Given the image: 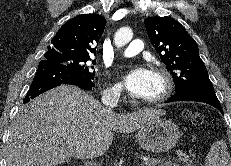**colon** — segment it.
<instances>
[{
	"mask_svg": "<svg viewBox=\"0 0 231 166\" xmlns=\"http://www.w3.org/2000/svg\"><path fill=\"white\" fill-rule=\"evenodd\" d=\"M187 117L196 124H199L203 121V116L199 113H188Z\"/></svg>",
	"mask_w": 231,
	"mask_h": 166,
	"instance_id": "1",
	"label": "colon"
}]
</instances>
